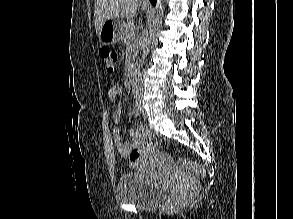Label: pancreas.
<instances>
[{"instance_id":"obj_1","label":"pancreas","mask_w":293,"mask_h":219,"mask_svg":"<svg viewBox=\"0 0 293 219\" xmlns=\"http://www.w3.org/2000/svg\"><path fill=\"white\" fill-rule=\"evenodd\" d=\"M124 32L122 35V41L125 45L133 51V57H135L138 48H137V38H136V31L132 21H128L124 26Z\"/></svg>"}]
</instances>
